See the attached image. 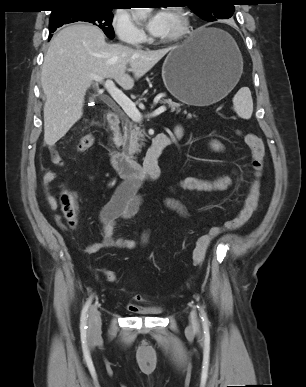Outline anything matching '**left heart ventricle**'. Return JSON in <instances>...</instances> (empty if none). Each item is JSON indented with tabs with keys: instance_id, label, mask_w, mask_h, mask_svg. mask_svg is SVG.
Here are the masks:
<instances>
[{
	"instance_id": "b2bd125f",
	"label": "left heart ventricle",
	"mask_w": 306,
	"mask_h": 387,
	"mask_svg": "<svg viewBox=\"0 0 306 387\" xmlns=\"http://www.w3.org/2000/svg\"><path fill=\"white\" fill-rule=\"evenodd\" d=\"M167 21H168L167 30L163 38H166L172 35L178 29V25H179V20L177 16L169 11L167 12Z\"/></svg>"
}]
</instances>
